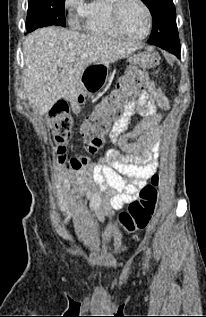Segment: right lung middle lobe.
<instances>
[{"label": "right lung middle lobe", "mask_w": 206, "mask_h": 317, "mask_svg": "<svg viewBox=\"0 0 206 317\" xmlns=\"http://www.w3.org/2000/svg\"><path fill=\"white\" fill-rule=\"evenodd\" d=\"M64 2L65 0H29L27 33L49 25L65 26Z\"/></svg>", "instance_id": "dd1d6c3e"}]
</instances>
